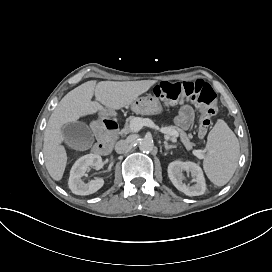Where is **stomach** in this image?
I'll return each mask as SVG.
<instances>
[{
  "label": "stomach",
  "mask_w": 272,
  "mask_h": 272,
  "mask_svg": "<svg viewBox=\"0 0 272 272\" xmlns=\"http://www.w3.org/2000/svg\"><path fill=\"white\" fill-rule=\"evenodd\" d=\"M131 110L137 114L154 115L162 111V106L158 98L148 95L136 98L131 103Z\"/></svg>",
  "instance_id": "obj_1"
}]
</instances>
